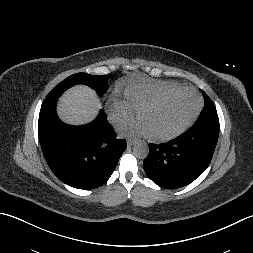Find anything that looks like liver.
<instances>
[{"label": "liver", "instance_id": "1", "mask_svg": "<svg viewBox=\"0 0 253 253\" xmlns=\"http://www.w3.org/2000/svg\"><path fill=\"white\" fill-rule=\"evenodd\" d=\"M100 108L97 94L89 87L78 85L61 96L58 114L66 123L78 125L92 121Z\"/></svg>", "mask_w": 253, "mask_h": 253}]
</instances>
